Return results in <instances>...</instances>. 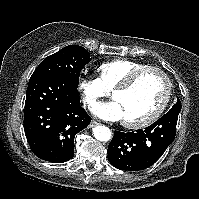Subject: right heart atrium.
<instances>
[{
  "label": "right heart atrium",
  "instance_id": "1",
  "mask_svg": "<svg viewBox=\"0 0 199 199\" xmlns=\"http://www.w3.org/2000/svg\"><path fill=\"white\" fill-rule=\"evenodd\" d=\"M84 105L93 107L97 100L107 95L108 91L97 78H82L78 83Z\"/></svg>",
  "mask_w": 199,
  "mask_h": 199
}]
</instances>
